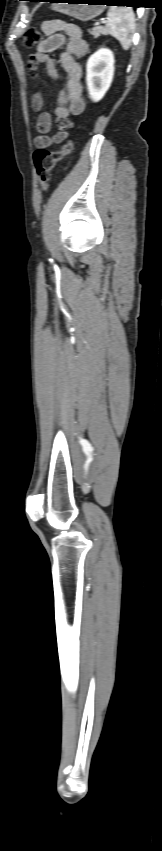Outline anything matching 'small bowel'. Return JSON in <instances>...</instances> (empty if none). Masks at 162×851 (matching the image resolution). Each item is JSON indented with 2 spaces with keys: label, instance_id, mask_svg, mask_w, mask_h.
<instances>
[{
  "label": "small bowel",
  "instance_id": "small-bowel-1",
  "mask_svg": "<svg viewBox=\"0 0 162 851\" xmlns=\"http://www.w3.org/2000/svg\"><path fill=\"white\" fill-rule=\"evenodd\" d=\"M42 30L46 38L38 44L34 54L28 58L29 71L34 75L38 64H44L48 74L57 79L59 72L55 61L50 53L66 44V50L60 56V64L66 77V87L58 94L57 106L54 109L59 131L52 136L47 135L52 126V115L44 110L45 101L41 92L34 93L31 100V109L38 113L36 130L40 135L35 137L34 144L37 148H47L52 144L63 142L68 131L73 128L74 123L70 118L79 115L85 109V101L82 96V68L77 58L86 55L88 43L82 36L81 29L64 20H46L42 23Z\"/></svg>",
  "mask_w": 162,
  "mask_h": 851
}]
</instances>
